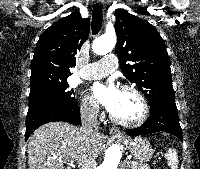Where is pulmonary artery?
I'll use <instances>...</instances> for the list:
<instances>
[{"label": "pulmonary artery", "mask_w": 200, "mask_h": 169, "mask_svg": "<svg viewBox=\"0 0 200 169\" xmlns=\"http://www.w3.org/2000/svg\"><path fill=\"white\" fill-rule=\"evenodd\" d=\"M117 65V57L114 54H109L99 61L88 64L81 76L87 80L99 79L115 71Z\"/></svg>", "instance_id": "obj_1"}]
</instances>
